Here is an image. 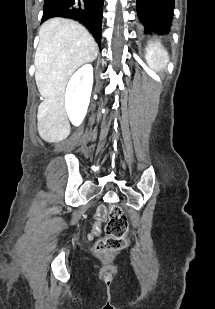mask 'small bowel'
<instances>
[{
  "label": "small bowel",
  "mask_w": 215,
  "mask_h": 309,
  "mask_svg": "<svg viewBox=\"0 0 215 309\" xmlns=\"http://www.w3.org/2000/svg\"><path fill=\"white\" fill-rule=\"evenodd\" d=\"M105 219V215H103V214H97V221L98 222H101V221H103ZM94 230L95 231H99V225L98 224H96L95 226H94Z\"/></svg>",
  "instance_id": "c3829d8e"
}]
</instances>
